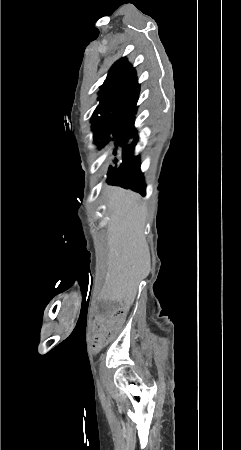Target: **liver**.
Wrapping results in <instances>:
<instances>
[{
    "instance_id": "liver-1",
    "label": "liver",
    "mask_w": 241,
    "mask_h": 450,
    "mask_svg": "<svg viewBox=\"0 0 241 450\" xmlns=\"http://www.w3.org/2000/svg\"><path fill=\"white\" fill-rule=\"evenodd\" d=\"M105 198L111 212L105 286L110 298L131 306L151 268L144 236L147 208L139 194L115 186H107Z\"/></svg>"
}]
</instances>
